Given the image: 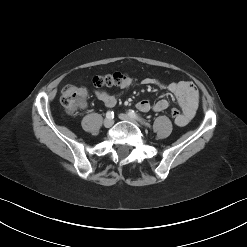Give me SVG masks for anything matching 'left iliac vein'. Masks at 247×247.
<instances>
[{"mask_svg":"<svg viewBox=\"0 0 247 247\" xmlns=\"http://www.w3.org/2000/svg\"><path fill=\"white\" fill-rule=\"evenodd\" d=\"M119 118L122 119V120L130 121V122H132L134 124H138L137 121L133 117L128 115V114H120Z\"/></svg>","mask_w":247,"mask_h":247,"instance_id":"4c4485c4","label":"left iliac vein"}]
</instances>
